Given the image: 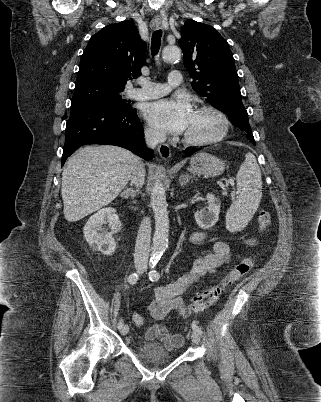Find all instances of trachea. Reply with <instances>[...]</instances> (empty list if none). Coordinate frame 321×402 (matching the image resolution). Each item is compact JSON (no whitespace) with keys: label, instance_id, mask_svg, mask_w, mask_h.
Instances as JSON below:
<instances>
[{"label":"trachea","instance_id":"obj_1","mask_svg":"<svg viewBox=\"0 0 321 402\" xmlns=\"http://www.w3.org/2000/svg\"><path fill=\"white\" fill-rule=\"evenodd\" d=\"M161 38H162V30H156L152 35L151 41V53L152 55H156L160 49L161 45Z\"/></svg>","mask_w":321,"mask_h":402}]
</instances>
